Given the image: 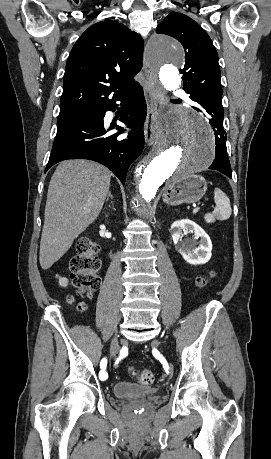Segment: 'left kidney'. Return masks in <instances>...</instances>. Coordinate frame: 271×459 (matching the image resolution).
I'll return each instance as SVG.
<instances>
[{"instance_id": "5707ae66", "label": "left kidney", "mask_w": 271, "mask_h": 459, "mask_svg": "<svg viewBox=\"0 0 271 459\" xmlns=\"http://www.w3.org/2000/svg\"><path fill=\"white\" fill-rule=\"evenodd\" d=\"M183 229L194 231L195 237H201L200 241H196L194 237L192 245L193 247L197 245V247H195V251H189L187 245H185L183 241H180ZM170 233L176 245V249L182 253L184 259H186L188 263H194V265H197V263H206V261H209L212 255V241L208 233H206L204 229L200 228V226H197L195 222H192V220H178V222H173L170 228Z\"/></svg>"}]
</instances>
